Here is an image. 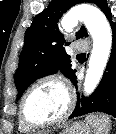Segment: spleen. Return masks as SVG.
<instances>
[{
	"label": "spleen",
	"instance_id": "obj_1",
	"mask_svg": "<svg viewBox=\"0 0 116 134\" xmlns=\"http://www.w3.org/2000/svg\"><path fill=\"white\" fill-rule=\"evenodd\" d=\"M86 120L94 128L95 134H108L111 129V120L104 114H91Z\"/></svg>",
	"mask_w": 116,
	"mask_h": 134
}]
</instances>
